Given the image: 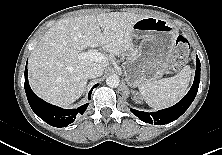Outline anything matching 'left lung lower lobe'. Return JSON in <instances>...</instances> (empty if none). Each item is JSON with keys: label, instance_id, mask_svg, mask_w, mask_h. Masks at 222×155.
Wrapping results in <instances>:
<instances>
[{"label": "left lung lower lobe", "instance_id": "1", "mask_svg": "<svg viewBox=\"0 0 222 155\" xmlns=\"http://www.w3.org/2000/svg\"><path fill=\"white\" fill-rule=\"evenodd\" d=\"M196 64L197 68L192 88L189 90V92L180 102H178L177 104H175L170 108L159 110L157 112L148 113V112L138 111L135 109H131V112L134 115H136L140 120L155 125L168 124L178 119L191 105L198 91L199 82H200V60L197 55H196Z\"/></svg>", "mask_w": 222, "mask_h": 155}]
</instances>
